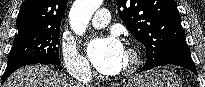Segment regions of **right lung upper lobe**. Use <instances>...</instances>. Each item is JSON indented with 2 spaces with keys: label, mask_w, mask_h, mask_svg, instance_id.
Instances as JSON below:
<instances>
[{
  "label": "right lung upper lobe",
  "mask_w": 205,
  "mask_h": 87,
  "mask_svg": "<svg viewBox=\"0 0 205 87\" xmlns=\"http://www.w3.org/2000/svg\"><path fill=\"white\" fill-rule=\"evenodd\" d=\"M68 0H25L17 17L19 31L60 29Z\"/></svg>",
  "instance_id": "obj_1"
}]
</instances>
